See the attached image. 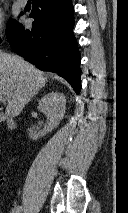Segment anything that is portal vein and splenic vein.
I'll return each mask as SVG.
<instances>
[{
    "mask_svg": "<svg viewBox=\"0 0 128 213\" xmlns=\"http://www.w3.org/2000/svg\"><path fill=\"white\" fill-rule=\"evenodd\" d=\"M5 101H6V99L0 95V102H5Z\"/></svg>",
    "mask_w": 128,
    "mask_h": 213,
    "instance_id": "1",
    "label": "portal vein and splenic vein"
}]
</instances>
